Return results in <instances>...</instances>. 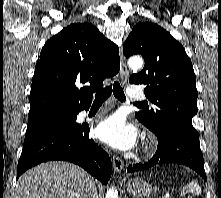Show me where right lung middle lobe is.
<instances>
[{"mask_svg": "<svg viewBox=\"0 0 221 198\" xmlns=\"http://www.w3.org/2000/svg\"><path fill=\"white\" fill-rule=\"evenodd\" d=\"M77 114H58L34 122H28L25 140L48 130L76 127L79 125L76 123Z\"/></svg>", "mask_w": 221, "mask_h": 198, "instance_id": "right-lung-middle-lobe-1", "label": "right lung middle lobe"}]
</instances>
